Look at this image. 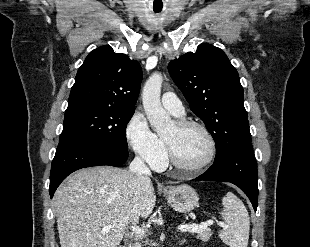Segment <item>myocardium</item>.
Instances as JSON below:
<instances>
[{
  "instance_id": "obj_1",
  "label": "myocardium",
  "mask_w": 310,
  "mask_h": 247,
  "mask_svg": "<svg viewBox=\"0 0 310 247\" xmlns=\"http://www.w3.org/2000/svg\"><path fill=\"white\" fill-rule=\"evenodd\" d=\"M175 125L179 128V129H188V128H198L200 129L206 136L208 143H209V154L207 156V158L200 164L195 165V166H187L182 164L181 162H179L177 160V158L175 157L173 150L170 146V144L168 143V141L164 138V142L166 145V150L168 153V157L170 160V163L176 167L179 170L188 172V173H199L202 172L204 169H206L208 166H210L212 164V162L214 161L215 157H216V152H217V147H216V141L212 135V133L210 132V130L202 123L198 122V121H194V120H177L175 122Z\"/></svg>"
}]
</instances>
